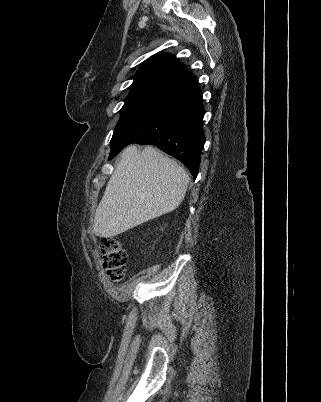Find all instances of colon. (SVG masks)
I'll return each mask as SVG.
<instances>
[{"instance_id": "obj_1", "label": "colon", "mask_w": 321, "mask_h": 402, "mask_svg": "<svg viewBox=\"0 0 321 402\" xmlns=\"http://www.w3.org/2000/svg\"><path fill=\"white\" fill-rule=\"evenodd\" d=\"M102 266L110 281L118 282L126 273L127 254L116 237H103L99 244Z\"/></svg>"}]
</instances>
